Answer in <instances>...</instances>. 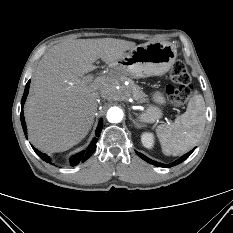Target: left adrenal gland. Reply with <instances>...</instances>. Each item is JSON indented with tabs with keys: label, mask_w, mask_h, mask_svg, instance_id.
Masks as SVG:
<instances>
[{
	"label": "left adrenal gland",
	"mask_w": 233,
	"mask_h": 233,
	"mask_svg": "<svg viewBox=\"0 0 233 233\" xmlns=\"http://www.w3.org/2000/svg\"><path fill=\"white\" fill-rule=\"evenodd\" d=\"M130 120H132L133 122H134V124H135V126L137 127V128H139L140 127V125L139 124H137L132 118H131V115H130Z\"/></svg>",
	"instance_id": "a2214340"
}]
</instances>
